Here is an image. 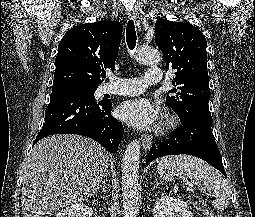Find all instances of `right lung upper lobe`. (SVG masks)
<instances>
[{"instance_id": "right-lung-upper-lobe-1", "label": "right lung upper lobe", "mask_w": 255, "mask_h": 217, "mask_svg": "<svg viewBox=\"0 0 255 217\" xmlns=\"http://www.w3.org/2000/svg\"><path fill=\"white\" fill-rule=\"evenodd\" d=\"M122 31V25L111 20L70 29L58 45L53 88L70 84L98 87L101 71L115 66Z\"/></svg>"}]
</instances>
